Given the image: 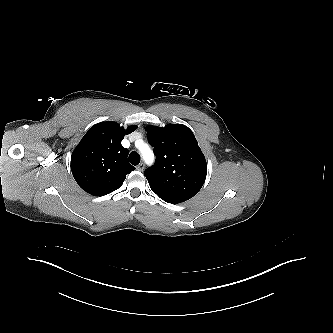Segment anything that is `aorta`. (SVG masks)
Listing matches in <instances>:
<instances>
[{
    "label": "aorta",
    "instance_id": "aorta-1",
    "mask_svg": "<svg viewBox=\"0 0 333 333\" xmlns=\"http://www.w3.org/2000/svg\"><path fill=\"white\" fill-rule=\"evenodd\" d=\"M140 152L142 154V157L144 161L147 164L153 163L154 162V153L153 151L149 148L148 145H142L140 148Z\"/></svg>",
    "mask_w": 333,
    "mask_h": 333
}]
</instances>
